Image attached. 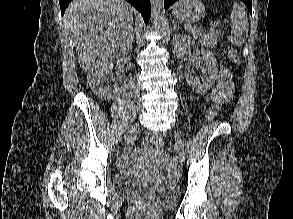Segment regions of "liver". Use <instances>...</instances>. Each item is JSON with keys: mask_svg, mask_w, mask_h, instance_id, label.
Segmentation results:
<instances>
[{"mask_svg": "<svg viewBox=\"0 0 293 219\" xmlns=\"http://www.w3.org/2000/svg\"><path fill=\"white\" fill-rule=\"evenodd\" d=\"M133 7L124 0H73L64 23L75 42L83 71L96 58L126 55L132 47Z\"/></svg>", "mask_w": 293, "mask_h": 219, "instance_id": "6515ba94", "label": "liver"}]
</instances>
